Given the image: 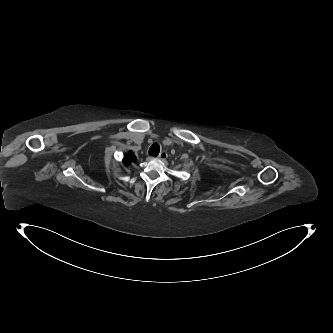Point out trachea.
I'll list each match as a JSON object with an SVG mask.
<instances>
[{
    "instance_id": "1",
    "label": "trachea",
    "mask_w": 333,
    "mask_h": 333,
    "mask_svg": "<svg viewBox=\"0 0 333 333\" xmlns=\"http://www.w3.org/2000/svg\"><path fill=\"white\" fill-rule=\"evenodd\" d=\"M160 152V146L158 143H154L151 145V147L149 148V155L150 156H157Z\"/></svg>"
}]
</instances>
